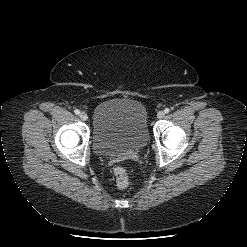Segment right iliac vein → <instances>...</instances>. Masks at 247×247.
<instances>
[{
  "label": "right iliac vein",
  "instance_id": "63e3f726",
  "mask_svg": "<svg viewBox=\"0 0 247 247\" xmlns=\"http://www.w3.org/2000/svg\"><path fill=\"white\" fill-rule=\"evenodd\" d=\"M79 117H80V119L83 120V121H86V120L88 119V116H87V114H86L85 112H81V113L79 114Z\"/></svg>",
  "mask_w": 247,
  "mask_h": 247
}]
</instances>
